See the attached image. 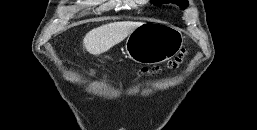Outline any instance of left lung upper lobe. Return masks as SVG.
<instances>
[{"instance_id": "1", "label": "left lung upper lobe", "mask_w": 257, "mask_h": 130, "mask_svg": "<svg viewBox=\"0 0 257 130\" xmlns=\"http://www.w3.org/2000/svg\"><path fill=\"white\" fill-rule=\"evenodd\" d=\"M154 3H175L178 6H180V8L185 9L188 6V0H151Z\"/></svg>"}]
</instances>
